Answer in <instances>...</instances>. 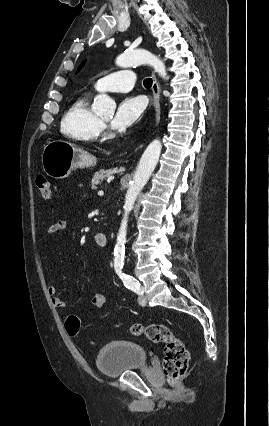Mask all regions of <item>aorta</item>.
I'll use <instances>...</instances> for the list:
<instances>
[{
	"label": "aorta",
	"instance_id": "aorta-1",
	"mask_svg": "<svg viewBox=\"0 0 269 426\" xmlns=\"http://www.w3.org/2000/svg\"><path fill=\"white\" fill-rule=\"evenodd\" d=\"M147 64L153 67L160 77H167L166 67L156 55L145 49H136L127 51L116 59V65L122 68H128L133 65ZM116 103L106 94L97 95L94 99L92 110L101 116H111L114 114ZM162 144L159 139H154L145 149L139 164L130 182L125 196L124 216L117 236V242L114 249V263L122 264L125 254V243L127 234L128 215L133 209L134 203L143 187L149 180L154 171L160 154Z\"/></svg>",
	"mask_w": 269,
	"mask_h": 426
}]
</instances>
